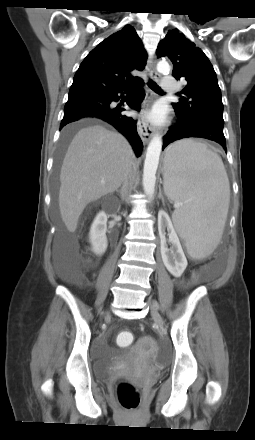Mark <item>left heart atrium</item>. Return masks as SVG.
I'll list each match as a JSON object with an SVG mask.
<instances>
[{"mask_svg": "<svg viewBox=\"0 0 255 440\" xmlns=\"http://www.w3.org/2000/svg\"><path fill=\"white\" fill-rule=\"evenodd\" d=\"M165 117L164 109L161 106H156L149 113V118L154 122H161Z\"/></svg>", "mask_w": 255, "mask_h": 440, "instance_id": "39dd6f15", "label": "left heart atrium"}]
</instances>
